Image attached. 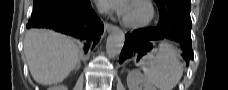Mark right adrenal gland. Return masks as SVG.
Wrapping results in <instances>:
<instances>
[{
    "label": "right adrenal gland",
    "instance_id": "1",
    "mask_svg": "<svg viewBox=\"0 0 228 90\" xmlns=\"http://www.w3.org/2000/svg\"><path fill=\"white\" fill-rule=\"evenodd\" d=\"M80 66H81V60L79 59L78 64H77L75 70H76V71L79 70Z\"/></svg>",
    "mask_w": 228,
    "mask_h": 90
}]
</instances>
